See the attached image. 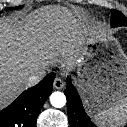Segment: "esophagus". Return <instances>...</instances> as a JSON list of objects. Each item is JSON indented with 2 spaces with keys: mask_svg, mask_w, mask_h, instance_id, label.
Wrapping results in <instances>:
<instances>
[{
  "mask_svg": "<svg viewBox=\"0 0 127 127\" xmlns=\"http://www.w3.org/2000/svg\"><path fill=\"white\" fill-rule=\"evenodd\" d=\"M53 86L55 89L60 90L64 87V82L63 79L61 77H56L53 83Z\"/></svg>",
  "mask_w": 127,
  "mask_h": 127,
  "instance_id": "34e87169",
  "label": "esophagus"
}]
</instances>
